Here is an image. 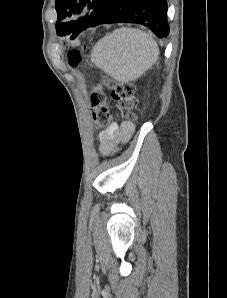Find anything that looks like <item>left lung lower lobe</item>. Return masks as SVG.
Wrapping results in <instances>:
<instances>
[{
    "label": "left lung lower lobe",
    "mask_w": 227,
    "mask_h": 298,
    "mask_svg": "<svg viewBox=\"0 0 227 298\" xmlns=\"http://www.w3.org/2000/svg\"><path fill=\"white\" fill-rule=\"evenodd\" d=\"M166 0H107L96 24L138 23L151 29L158 37L169 33Z\"/></svg>",
    "instance_id": "0a47b994"
}]
</instances>
